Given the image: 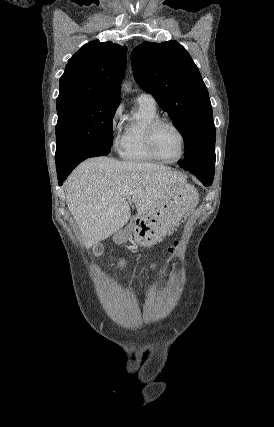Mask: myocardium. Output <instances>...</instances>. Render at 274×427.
Returning a JSON list of instances; mask_svg holds the SVG:
<instances>
[{"mask_svg":"<svg viewBox=\"0 0 274 427\" xmlns=\"http://www.w3.org/2000/svg\"><path fill=\"white\" fill-rule=\"evenodd\" d=\"M163 125H167V126L172 127L180 136L181 144H182V150H181V155L177 160H173V161L167 160L163 156H161L157 150L156 143H155L156 132H157L158 128L163 126ZM146 145H147L149 152L158 161H160L162 163H166V164L180 163L184 159V157L186 155V151H187V142H186V137H185L183 131L181 130V128L177 124H175L174 122L167 120V119L158 118V119L154 120L148 126L147 131H146Z\"/></svg>","mask_w":274,"mask_h":427,"instance_id":"f54148a6","label":"myocardium"}]
</instances>
